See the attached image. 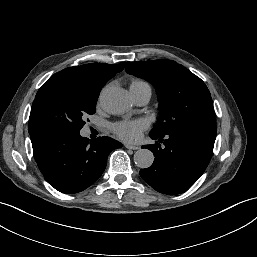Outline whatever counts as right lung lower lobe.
Here are the masks:
<instances>
[{
    "label": "right lung lower lobe",
    "instance_id": "1",
    "mask_svg": "<svg viewBox=\"0 0 257 257\" xmlns=\"http://www.w3.org/2000/svg\"><path fill=\"white\" fill-rule=\"evenodd\" d=\"M30 137L41 173L63 193L80 192L93 184L105 170L109 153L122 147L110 137L91 141L80 133L33 131Z\"/></svg>",
    "mask_w": 257,
    "mask_h": 257
}]
</instances>
